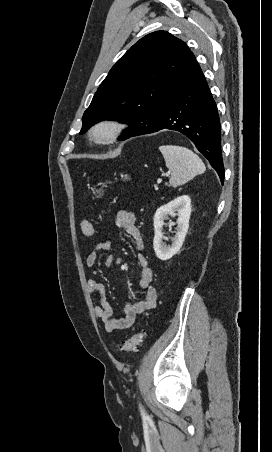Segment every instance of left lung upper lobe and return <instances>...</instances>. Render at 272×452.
Returning a JSON list of instances; mask_svg holds the SVG:
<instances>
[{
	"mask_svg": "<svg viewBox=\"0 0 272 452\" xmlns=\"http://www.w3.org/2000/svg\"><path fill=\"white\" fill-rule=\"evenodd\" d=\"M194 61L188 46L168 32L146 35L117 61L101 83L84 112L80 134L106 119L127 123L123 136L153 126Z\"/></svg>",
	"mask_w": 272,
	"mask_h": 452,
	"instance_id": "obj_1",
	"label": "left lung upper lobe"
}]
</instances>
